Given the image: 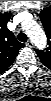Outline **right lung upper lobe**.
<instances>
[{
    "instance_id": "1",
    "label": "right lung upper lobe",
    "mask_w": 51,
    "mask_h": 101,
    "mask_svg": "<svg viewBox=\"0 0 51 101\" xmlns=\"http://www.w3.org/2000/svg\"><path fill=\"white\" fill-rule=\"evenodd\" d=\"M11 13H0V73L4 72L15 60L19 49L25 45L16 40L7 28Z\"/></svg>"
}]
</instances>
